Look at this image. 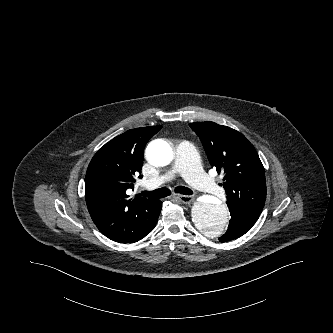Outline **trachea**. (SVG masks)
Listing matches in <instances>:
<instances>
[{"mask_svg": "<svg viewBox=\"0 0 333 333\" xmlns=\"http://www.w3.org/2000/svg\"><path fill=\"white\" fill-rule=\"evenodd\" d=\"M175 192L183 194V195H192L193 194L191 189L184 187V186L176 187ZM170 193L171 192L168 188L162 187V188L154 190L152 192L142 191L141 195H143L145 197L153 198V199H160V198L167 197L168 195H170Z\"/></svg>", "mask_w": 333, "mask_h": 333, "instance_id": "trachea-1", "label": "trachea"}]
</instances>
